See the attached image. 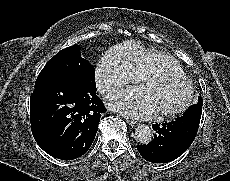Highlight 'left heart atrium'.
Returning a JSON list of instances; mask_svg holds the SVG:
<instances>
[{"label": "left heart atrium", "instance_id": "left-heart-atrium-1", "mask_svg": "<svg viewBox=\"0 0 230 181\" xmlns=\"http://www.w3.org/2000/svg\"><path fill=\"white\" fill-rule=\"evenodd\" d=\"M144 89L129 88L111 95L107 99L110 108L126 116L147 119L156 114V109L142 95Z\"/></svg>", "mask_w": 230, "mask_h": 181}]
</instances>
